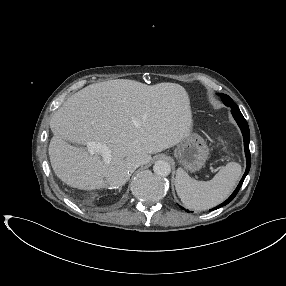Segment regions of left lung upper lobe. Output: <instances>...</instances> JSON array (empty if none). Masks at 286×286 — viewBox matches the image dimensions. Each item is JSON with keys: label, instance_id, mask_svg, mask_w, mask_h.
<instances>
[{"label": "left lung upper lobe", "instance_id": "5c2ea615", "mask_svg": "<svg viewBox=\"0 0 286 286\" xmlns=\"http://www.w3.org/2000/svg\"><path fill=\"white\" fill-rule=\"evenodd\" d=\"M218 95L221 97L223 103L227 107H230L231 109L239 110L238 106L233 102V100L228 95H225V94H222V93H219Z\"/></svg>", "mask_w": 286, "mask_h": 286}]
</instances>
